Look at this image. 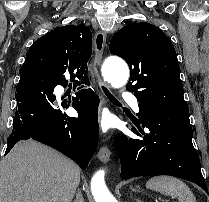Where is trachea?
Returning <instances> with one entry per match:
<instances>
[{
	"instance_id": "obj_1",
	"label": "trachea",
	"mask_w": 209,
	"mask_h": 202,
	"mask_svg": "<svg viewBox=\"0 0 209 202\" xmlns=\"http://www.w3.org/2000/svg\"><path fill=\"white\" fill-rule=\"evenodd\" d=\"M103 91L105 92L106 96L108 97V99L113 102V103H118L119 101L108 91L107 88L102 87Z\"/></svg>"
}]
</instances>
